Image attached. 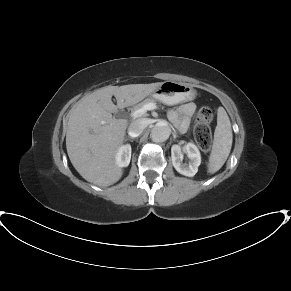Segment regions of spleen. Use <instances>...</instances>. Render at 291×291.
<instances>
[{"label": "spleen", "instance_id": "1", "mask_svg": "<svg viewBox=\"0 0 291 291\" xmlns=\"http://www.w3.org/2000/svg\"><path fill=\"white\" fill-rule=\"evenodd\" d=\"M233 135L229 117L223 107L217 110V126L209 156L208 172H217L226 162L232 147Z\"/></svg>", "mask_w": 291, "mask_h": 291}]
</instances>
